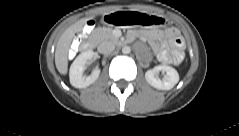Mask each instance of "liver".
I'll return each instance as SVG.
<instances>
[{"instance_id":"6515ba94","label":"liver","mask_w":239,"mask_h":136,"mask_svg":"<svg viewBox=\"0 0 239 136\" xmlns=\"http://www.w3.org/2000/svg\"><path fill=\"white\" fill-rule=\"evenodd\" d=\"M92 19L82 18L68 27L59 38L55 51V65L60 74L65 75L68 71V51L75 34L83 27V25Z\"/></svg>"}]
</instances>
